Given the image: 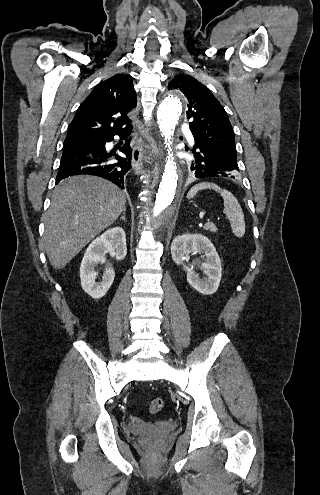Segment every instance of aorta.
Here are the masks:
<instances>
[{"mask_svg":"<svg viewBox=\"0 0 320 495\" xmlns=\"http://www.w3.org/2000/svg\"><path fill=\"white\" fill-rule=\"evenodd\" d=\"M182 92L175 90L168 93L165 100L159 107L157 121L162 136L165 137V145L168 156L164 168V173L156 195V200L150 209L149 221L147 224V234L157 237L168 220H171L176 209L175 192L177 188V168L171 145V136L174 133L176 124L182 112Z\"/></svg>","mask_w":320,"mask_h":495,"instance_id":"1","label":"aorta"}]
</instances>
